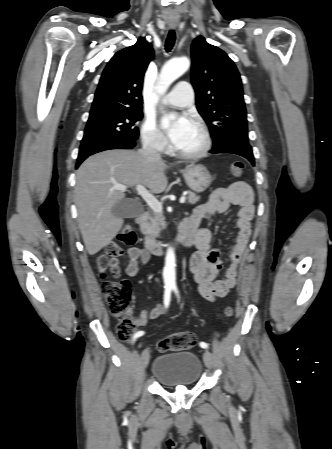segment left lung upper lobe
I'll return each instance as SVG.
<instances>
[{
    "label": "left lung upper lobe",
    "instance_id": "left-lung-upper-lobe-1",
    "mask_svg": "<svg viewBox=\"0 0 332 449\" xmlns=\"http://www.w3.org/2000/svg\"><path fill=\"white\" fill-rule=\"evenodd\" d=\"M191 54L196 105L209 127L213 148L235 140L248 142L242 81L234 62L202 36L194 39Z\"/></svg>",
    "mask_w": 332,
    "mask_h": 449
}]
</instances>
